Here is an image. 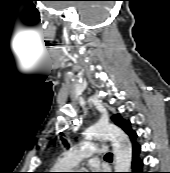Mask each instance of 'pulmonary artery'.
<instances>
[{
  "label": "pulmonary artery",
  "mask_w": 170,
  "mask_h": 173,
  "mask_svg": "<svg viewBox=\"0 0 170 173\" xmlns=\"http://www.w3.org/2000/svg\"><path fill=\"white\" fill-rule=\"evenodd\" d=\"M107 146H98L90 141H82L71 148L64 155L66 167H74L82 160L88 159L93 155H101L108 153Z\"/></svg>",
  "instance_id": "obj_1"
}]
</instances>
